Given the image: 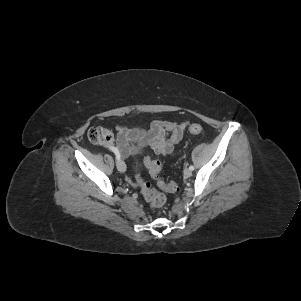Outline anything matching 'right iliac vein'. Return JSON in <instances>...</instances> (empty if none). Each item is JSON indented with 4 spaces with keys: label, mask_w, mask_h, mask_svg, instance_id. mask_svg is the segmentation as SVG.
<instances>
[{
    "label": "right iliac vein",
    "mask_w": 301,
    "mask_h": 301,
    "mask_svg": "<svg viewBox=\"0 0 301 301\" xmlns=\"http://www.w3.org/2000/svg\"><path fill=\"white\" fill-rule=\"evenodd\" d=\"M116 166L117 169L121 172L124 173L126 171V165L121 159L116 160Z\"/></svg>",
    "instance_id": "63e3f726"
}]
</instances>
